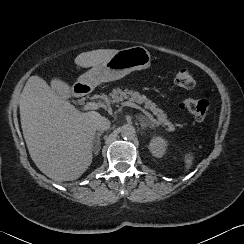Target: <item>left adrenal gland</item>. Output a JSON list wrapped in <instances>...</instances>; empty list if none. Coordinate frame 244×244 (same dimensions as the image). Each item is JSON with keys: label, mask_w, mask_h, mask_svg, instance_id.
Returning a JSON list of instances; mask_svg holds the SVG:
<instances>
[{"label": "left adrenal gland", "mask_w": 244, "mask_h": 244, "mask_svg": "<svg viewBox=\"0 0 244 244\" xmlns=\"http://www.w3.org/2000/svg\"><path fill=\"white\" fill-rule=\"evenodd\" d=\"M138 120L140 122L142 130H145L147 127L151 128V129L155 128L154 124L141 114L138 116Z\"/></svg>", "instance_id": "obj_1"}]
</instances>
